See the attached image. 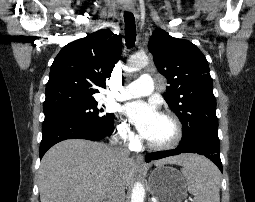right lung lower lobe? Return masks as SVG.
<instances>
[{"instance_id": "right-lung-lower-lobe-1", "label": "right lung lower lobe", "mask_w": 255, "mask_h": 202, "mask_svg": "<svg viewBox=\"0 0 255 202\" xmlns=\"http://www.w3.org/2000/svg\"><path fill=\"white\" fill-rule=\"evenodd\" d=\"M113 132V126L110 130L101 131L90 126L87 123L78 120H55L43 122L42 141L40 144V158L54 144L72 138L87 139L99 141L110 136Z\"/></svg>"}]
</instances>
